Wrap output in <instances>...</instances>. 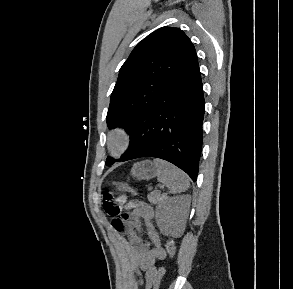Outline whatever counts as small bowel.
Returning <instances> with one entry per match:
<instances>
[{
	"label": "small bowel",
	"instance_id": "c3829d8e",
	"mask_svg": "<svg viewBox=\"0 0 293 289\" xmlns=\"http://www.w3.org/2000/svg\"><path fill=\"white\" fill-rule=\"evenodd\" d=\"M116 202L127 212L112 219V227L122 234L119 240L130 263L134 265L138 285L145 284V289H151L150 281L159 270L155 267V262L166 258V251L153 224L154 211L149 204L137 200L128 201L124 195L119 196ZM141 223L144 225L147 239L141 232ZM117 225L121 227L117 228Z\"/></svg>",
	"mask_w": 293,
	"mask_h": 289
}]
</instances>
